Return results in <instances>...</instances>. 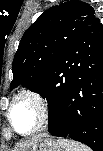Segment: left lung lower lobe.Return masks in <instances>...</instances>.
<instances>
[{
    "label": "left lung lower lobe",
    "mask_w": 103,
    "mask_h": 151,
    "mask_svg": "<svg viewBox=\"0 0 103 151\" xmlns=\"http://www.w3.org/2000/svg\"><path fill=\"white\" fill-rule=\"evenodd\" d=\"M38 93L48 100V131L103 151V26L88 27Z\"/></svg>",
    "instance_id": "obj_1"
}]
</instances>
